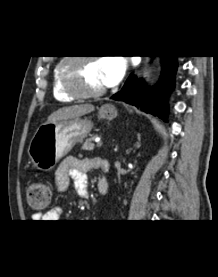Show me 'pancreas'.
Here are the masks:
<instances>
[{"label": "pancreas", "instance_id": "1", "mask_svg": "<svg viewBox=\"0 0 218 277\" xmlns=\"http://www.w3.org/2000/svg\"><path fill=\"white\" fill-rule=\"evenodd\" d=\"M97 137V135L91 136L90 138L86 139V141L84 142L82 149L83 150H87V151H92L95 148V145L93 143V141L95 140V138Z\"/></svg>", "mask_w": 218, "mask_h": 277}]
</instances>
